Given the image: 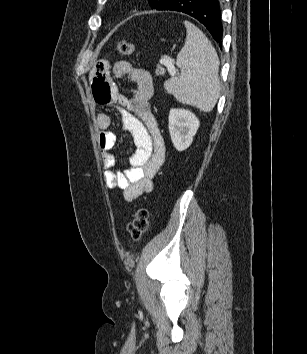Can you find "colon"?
Here are the masks:
<instances>
[{"mask_svg": "<svg viewBox=\"0 0 307 354\" xmlns=\"http://www.w3.org/2000/svg\"><path fill=\"white\" fill-rule=\"evenodd\" d=\"M118 52L121 55L129 56L134 51V46L127 40H119L117 43ZM149 227V212L146 208L140 207L136 210L133 220L128 224L127 230L132 240H139L146 233Z\"/></svg>", "mask_w": 307, "mask_h": 354, "instance_id": "1", "label": "colon"}]
</instances>
